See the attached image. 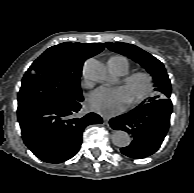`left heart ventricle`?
Returning a JSON list of instances; mask_svg holds the SVG:
<instances>
[{
    "label": "left heart ventricle",
    "mask_w": 194,
    "mask_h": 193,
    "mask_svg": "<svg viewBox=\"0 0 194 193\" xmlns=\"http://www.w3.org/2000/svg\"><path fill=\"white\" fill-rule=\"evenodd\" d=\"M123 89L126 93L127 102L135 98L143 89V81L135 80L127 86H123Z\"/></svg>",
    "instance_id": "left-heart-ventricle-1"
}]
</instances>
